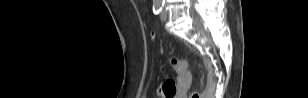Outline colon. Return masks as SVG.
Here are the masks:
<instances>
[{"mask_svg": "<svg viewBox=\"0 0 308 98\" xmlns=\"http://www.w3.org/2000/svg\"><path fill=\"white\" fill-rule=\"evenodd\" d=\"M170 64L177 73H184L187 70V62L183 59L171 58ZM176 94L175 83L172 80H167L160 88L159 96L162 98H174ZM202 93L192 92L190 98H202Z\"/></svg>", "mask_w": 308, "mask_h": 98, "instance_id": "obj_1", "label": "colon"}]
</instances>
